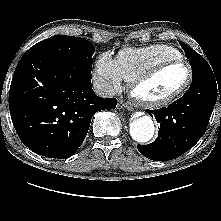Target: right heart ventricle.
<instances>
[{"mask_svg": "<svg viewBox=\"0 0 221 221\" xmlns=\"http://www.w3.org/2000/svg\"><path fill=\"white\" fill-rule=\"evenodd\" d=\"M173 59H183L177 48L165 44H155L142 48L123 49L118 53L116 63L122 79L132 82L152 67Z\"/></svg>", "mask_w": 221, "mask_h": 221, "instance_id": "1", "label": "right heart ventricle"}]
</instances>
